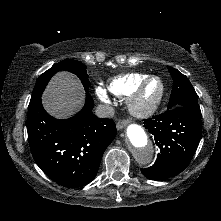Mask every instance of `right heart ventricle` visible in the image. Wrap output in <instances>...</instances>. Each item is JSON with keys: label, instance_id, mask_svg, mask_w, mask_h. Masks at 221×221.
I'll return each mask as SVG.
<instances>
[{"label": "right heart ventricle", "instance_id": "obj_1", "mask_svg": "<svg viewBox=\"0 0 221 221\" xmlns=\"http://www.w3.org/2000/svg\"><path fill=\"white\" fill-rule=\"evenodd\" d=\"M148 75L145 73H129L112 78L107 82V90L117 97H128L137 85Z\"/></svg>", "mask_w": 221, "mask_h": 221}]
</instances>
